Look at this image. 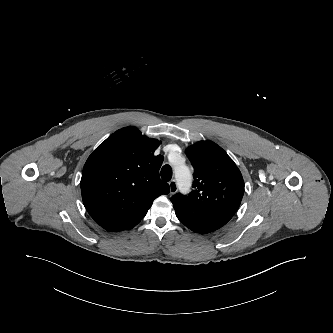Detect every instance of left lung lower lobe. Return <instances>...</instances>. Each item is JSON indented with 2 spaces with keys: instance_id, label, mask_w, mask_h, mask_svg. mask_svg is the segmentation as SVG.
Masks as SVG:
<instances>
[{
  "instance_id": "1",
  "label": "left lung lower lobe",
  "mask_w": 333,
  "mask_h": 333,
  "mask_svg": "<svg viewBox=\"0 0 333 333\" xmlns=\"http://www.w3.org/2000/svg\"><path fill=\"white\" fill-rule=\"evenodd\" d=\"M177 218L197 233H209L224 226L235 214L236 201H220L203 205H191L176 201L173 205Z\"/></svg>"
}]
</instances>
